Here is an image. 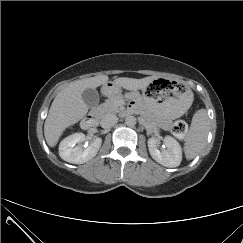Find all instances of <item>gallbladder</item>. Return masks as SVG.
<instances>
[{"label":"gallbladder","instance_id":"gallbladder-1","mask_svg":"<svg viewBox=\"0 0 243 243\" xmlns=\"http://www.w3.org/2000/svg\"><path fill=\"white\" fill-rule=\"evenodd\" d=\"M82 99L89 108L96 107L99 103V94L96 89H85L82 93Z\"/></svg>","mask_w":243,"mask_h":243}]
</instances>
